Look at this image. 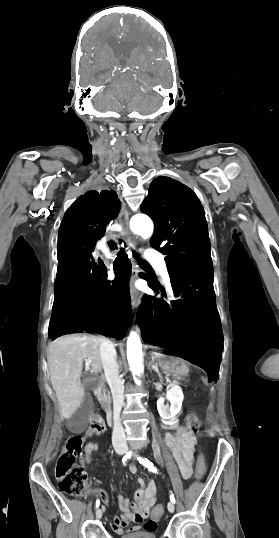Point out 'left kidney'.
Returning a JSON list of instances; mask_svg holds the SVG:
<instances>
[{
	"label": "left kidney",
	"mask_w": 279,
	"mask_h": 538,
	"mask_svg": "<svg viewBox=\"0 0 279 538\" xmlns=\"http://www.w3.org/2000/svg\"><path fill=\"white\" fill-rule=\"evenodd\" d=\"M165 400H168L169 404H164ZM184 400L182 388L172 384L170 390H167L165 398H159L157 402V410L163 418V420H170L179 414L182 408V402Z\"/></svg>",
	"instance_id": "left-kidney-1"
}]
</instances>
